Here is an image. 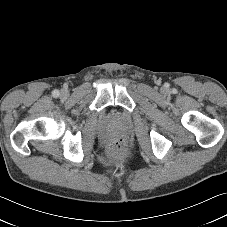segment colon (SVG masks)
<instances>
[{
    "mask_svg": "<svg viewBox=\"0 0 227 227\" xmlns=\"http://www.w3.org/2000/svg\"><path fill=\"white\" fill-rule=\"evenodd\" d=\"M126 144L122 139H115L109 145V154L112 159L120 160L124 157Z\"/></svg>",
    "mask_w": 227,
    "mask_h": 227,
    "instance_id": "5ec220e1",
    "label": "colon"
}]
</instances>
